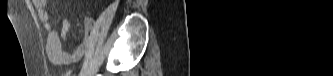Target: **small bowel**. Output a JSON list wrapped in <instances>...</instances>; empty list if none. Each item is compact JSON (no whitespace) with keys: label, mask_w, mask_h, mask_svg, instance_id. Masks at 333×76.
Instances as JSON below:
<instances>
[{"label":"small bowel","mask_w":333,"mask_h":76,"mask_svg":"<svg viewBox=\"0 0 333 76\" xmlns=\"http://www.w3.org/2000/svg\"><path fill=\"white\" fill-rule=\"evenodd\" d=\"M32 2L37 8L38 17L44 23V27L47 31L46 52L50 61L58 66L68 65L78 61L90 43L91 33L94 26L93 18L87 17L84 20L85 36L83 42L75 47L72 52H66L62 49L61 37H67L69 35L70 23L68 21H63L60 32L54 30L49 21L50 13L47 8V1L33 0Z\"/></svg>","instance_id":"c3829d8e"}]
</instances>
